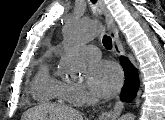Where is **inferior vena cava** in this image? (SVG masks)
<instances>
[{
  "instance_id": "inferior-vena-cava-1",
  "label": "inferior vena cava",
  "mask_w": 165,
  "mask_h": 120,
  "mask_svg": "<svg viewBox=\"0 0 165 120\" xmlns=\"http://www.w3.org/2000/svg\"><path fill=\"white\" fill-rule=\"evenodd\" d=\"M95 102H96L95 98H91V99L89 100V103H95Z\"/></svg>"
}]
</instances>
